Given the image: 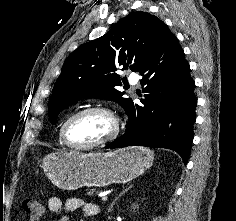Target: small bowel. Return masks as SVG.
Returning a JSON list of instances; mask_svg holds the SVG:
<instances>
[{
    "label": "small bowel",
    "mask_w": 236,
    "mask_h": 221,
    "mask_svg": "<svg viewBox=\"0 0 236 221\" xmlns=\"http://www.w3.org/2000/svg\"><path fill=\"white\" fill-rule=\"evenodd\" d=\"M48 208L53 213L82 210L86 217L97 216L100 212L99 206L96 203L87 202L79 197H71L65 200L57 196L51 197L48 201ZM58 221H68V217L62 215Z\"/></svg>",
    "instance_id": "obj_1"
}]
</instances>
